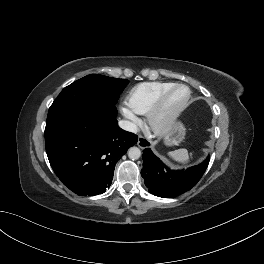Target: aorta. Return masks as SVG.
I'll list each match as a JSON object with an SVG mask.
<instances>
[{"mask_svg":"<svg viewBox=\"0 0 264 264\" xmlns=\"http://www.w3.org/2000/svg\"><path fill=\"white\" fill-rule=\"evenodd\" d=\"M141 156V150L138 147H131L128 150V157L132 160H136L140 158Z\"/></svg>","mask_w":264,"mask_h":264,"instance_id":"aorta-1","label":"aorta"}]
</instances>
